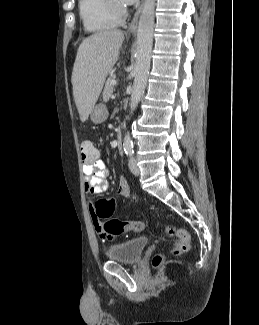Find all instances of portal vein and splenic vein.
Wrapping results in <instances>:
<instances>
[{
	"mask_svg": "<svg viewBox=\"0 0 259 325\" xmlns=\"http://www.w3.org/2000/svg\"><path fill=\"white\" fill-rule=\"evenodd\" d=\"M116 83H117L116 80H112V81H111V84H112V85H115Z\"/></svg>",
	"mask_w": 259,
	"mask_h": 325,
	"instance_id": "obj_1",
	"label": "portal vein and splenic vein"
}]
</instances>
